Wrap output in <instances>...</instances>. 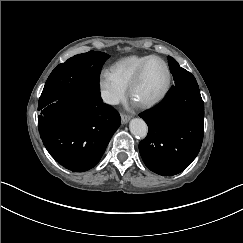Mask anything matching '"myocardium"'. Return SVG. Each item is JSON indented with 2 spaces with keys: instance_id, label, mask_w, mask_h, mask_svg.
Listing matches in <instances>:
<instances>
[{
  "instance_id": "myocardium-1",
  "label": "myocardium",
  "mask_w": 243,
  "mask_h": 243,
  "mask_svg": "<svg viewBox=\"0 0 243 243\" xmlns=\"http://www.w3.org/2000/svg\"><path fill=\"white\" fill-rule=\"evenodd\" d=\"M154 60L160 61L165 65L167 72H168V82H167V85H166V88L164 89V91L157 98H155L151 101L139 104L142 108H145V109L152 108V107L160 104L169 94V92L172 88V84H173V72H172L171 66L163 58L155 56L153 58H150V59L144 61L140 65L137 73L135 74V76L133 77V79L131 80V82L128 85V91H129L130 96L133 98V91H134L135 87L138 85V83L140 82L146 67L149 65L150 62H152Z\"/></svg>"
}]
</instances>
